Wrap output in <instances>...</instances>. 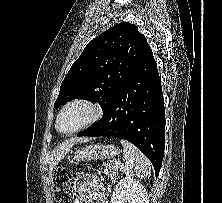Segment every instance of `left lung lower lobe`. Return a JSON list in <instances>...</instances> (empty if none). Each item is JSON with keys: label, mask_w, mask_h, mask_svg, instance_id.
Segmentation results:
<instances>
[{"label": "left lung lower lobe", "mask_w": 222, "mask_h": 203, "mask_svg": "<svg viewBox=\"0 0 222 203\" xmlns=\"http://www.w3.org/2000/svg\"><path fill=\"white\" fill-rule=\"evenodd\" d=\"M77 136L127 140L148 157L158 176L165 146V109L161 79L150 46L113 94L102 118Z\"/></svg>", "instance_id": "0a47b994"}]
</instances>
